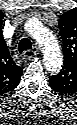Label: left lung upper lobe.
Instances as JSON below:
<instances>
[{
    "label": "left lung upper lobe",
    "instance_id": "obj_1",
    "mask_svg": "<svg viewBox=\"0 0 77 125\" xmlns=\"http://www.w3.org/2000/svg\"><path fill=\"white\" fill-rule=\"evenodd\" d=\"M58 26L63 40L64 67L59 74L50 78V83L55 85V89L64 93V79L71 74L70 67L77 59V16L74 9L61 16Z\"/></svg>",
    "mask_w": 77,
    "mask_h": 125
}]
</instances>
